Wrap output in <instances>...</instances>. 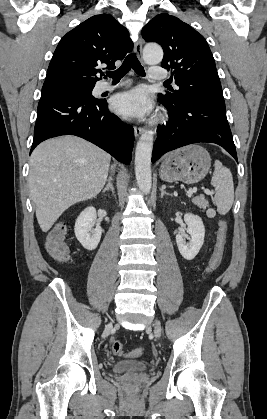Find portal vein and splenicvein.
<instances>
[{
    "mask_svg": "<svg viewBox=\"0 0 267 419\" xmlns=\"http://www.w3.org/2000/svg\"><path fill=\"white\" fill-rule=\"evenodd\" d=\"M196 192V189L194 188L192 191H191V193H195ZM204 192L207 194V195H211L212 194V192L210 191V190H208V189H204Z\"/></svg>",
    "mask_w": 267,
    "mask_h": 419,
    "instance_id": "18ae733b",
    "label": "portal vein and splenic vein"
}]
</instances>
